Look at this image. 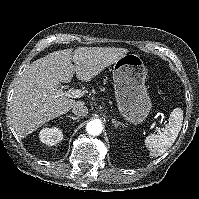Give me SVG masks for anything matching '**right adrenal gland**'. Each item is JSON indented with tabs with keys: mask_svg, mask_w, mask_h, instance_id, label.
<instances>
[{
	"mask_svg": "<svg viewBox=\"0 0 199 199\" xmlns=\"http://www.w3.org/2000/svg\"><path fill=\"white\" fill-rule=\"evenodd\" d=\"M67 117L70 118V119H72L73 121H75V120H77L79 118V117H75V116H71V115H69Z\"/></svg>",
	"mask_w": 199,
	"mask_h": 199,
	"instance_id": "2a0ac1e0",
	"label": "right adrenal gland"
}]
</instances>
